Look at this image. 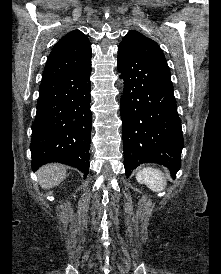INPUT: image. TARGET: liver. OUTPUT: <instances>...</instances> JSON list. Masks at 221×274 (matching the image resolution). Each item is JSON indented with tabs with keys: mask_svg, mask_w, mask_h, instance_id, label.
Returning <instances> with one entry per match:
<instances>
[{
	"mask_svg": "<svg viewBox=\"0 0 221 274\" xmlns=\"http://www.w3.org/2000/svg\"><path fill=\"white\" fill-rule=\"evenodd\" d=\"M37 175L40 186L43 189H50L59 185L66 178V168L61 164H48L41 167Z\"/></svg>",
	"mask_w": 221,
	"mask_h": 274,
	"instance_id": "1",
	"label": "liver"
}]
</instances>
